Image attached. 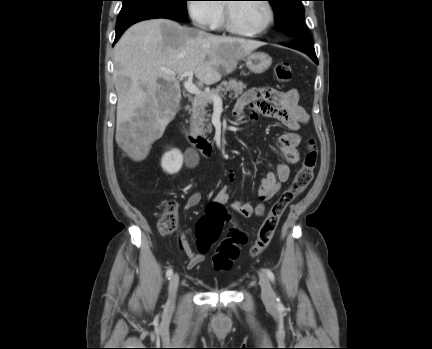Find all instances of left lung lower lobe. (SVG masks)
<instances>
[{
  "mask_svg": "<svg viewBox=\"0 0 432 349\" xmlns=\"http://www.w3.org/2000/svg\"><path fill=\"white\" fill-rule=\"evenodd\" d=\"M283 45L306 53L316 64H318L314 46L311 40L292 39L291 42L283 43Z\"/></svg>",
  "mask_w": 432,
  "mask_h": 349,
  "instance_id": "left-lung-lower-lobe-1",
  "label": "left lung lower lobe"
}]
</instances>
